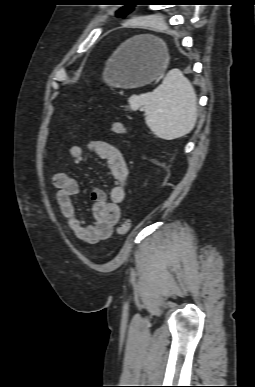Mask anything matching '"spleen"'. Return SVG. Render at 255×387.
I'll use <instances>...</instances> for the list:
<instances>
[{"label": "spleen", "mask_w": 255, "mask_h": 387, "mask_svg": "<svg viewBox=\"0 0 255 387\" xmlns=\"http://www.w3.org/2000/svg\"><path fill=\"white\" fill-rule=\"evenodd\" d=\"M130 109L145 110V122L159 138L173 140L195 127L197 96L190 81L178 69L170 70L152 92L132 95Z\"/></svg>", "instance_id": "obj_1"}]
</instances>
